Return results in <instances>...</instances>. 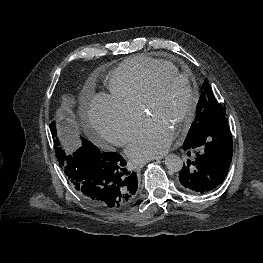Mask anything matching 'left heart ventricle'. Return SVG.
<instances>
[{
  "mask_svg": "<svg viewBox=\"0 0 263 263\" xmlns=\"http://www.w3.org/2000/svg\"><path fill=\"white\" fill-rule=\"evenodd\" d=\"M188 104L189 91L186 84L180 79L168 77L159 82L145 114L160 120L175 131L177 122L185 113Z\"/></svg>",
  "mask_w": 263,
  "mask_h": 263,
  "instance_id": "1",
  "label": "left heart ventricle"
}]
</instances>
